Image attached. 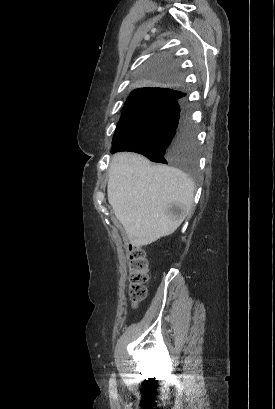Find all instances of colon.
<instances>
[{
	"label": "colon",
	"instance_id": "colon-1",
	"mask_svg": "<svg viewBox=\"0 0 275 409\" xmlns=\"http://www.w3.org/2000/svg\"><path fill=\"white\" fill-rule=\"evenodd\" d=\"M128 254L130 256V297L135 306L147 296V288L145 284L148 281V261L144 255V250L130 244L128 246Z\"/></svg>",
	"mask_w": 275,
	"mask_h": 409
}]
</instances>
